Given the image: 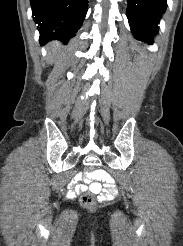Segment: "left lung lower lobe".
Segmentation results:
<instances>
[{"label": "left lung lower lobe", "mask_w": 183, "mask_h": 246, "mask_svg": "<svg viewBox=\"0 0 183 246\" xmlns=\"http://www.w3.org/2000/svg\"><path fill=\"white\" fill-rule=\"evenodd\" d=\"M127 18L134 37L153 43L158 34L161 15L167 8V0H127Z\"/></svg>", "instance_id": "1"}]
</instances>
